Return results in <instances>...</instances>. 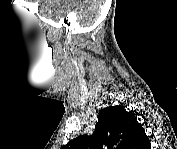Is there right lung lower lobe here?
<instances>
[{"mask_svg": "<svg viewBox=\"0 0 177 149\" xmlns=\"http://www.w3.org/2000/svg\"><path fill=\"white\" fill-rule=\"evenodd\" d=\"M145 149H149L150 148V142H148L145 146H144Z\"/></svg>", "mask_w": 177, "mask_h": 149, "instance_id": "obj_1", "label": "right lung lower lobe"}]
</instances>
